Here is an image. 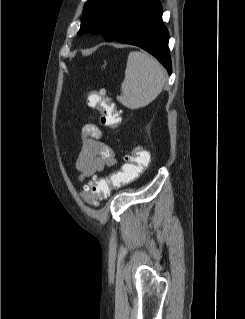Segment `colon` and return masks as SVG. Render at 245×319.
<instances>
[{
  "instance_id": "obj_1",
  "label": "colon",
  "mask_w": 245,
  "mask_h": 319,
  "mask_svg": "<svg viewBox=\"0 0 245 319\" xmlns=\"http://www.w3.org/2000/svg\"><path fill=\"white\" fill-rule=\"evenodd\" d=\"M86 102L89 107L98 111L102 125L116 128L121 124V114L115 102L112 98L107 97L104 91L98 90L87 93ZM125 159L126 162L123 166L110 176H92L83 189V198L91 204H97V201L107 197L111 190L119 189L141 176L147 170L150 162L148 152L141 148H135Z\"/></svg>"
}]
</instances>
